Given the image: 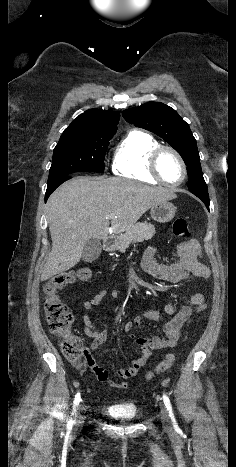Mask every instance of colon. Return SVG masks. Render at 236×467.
Returning <instances> with one entry per match:
<instances>
[{
    "mask_svg": "<svg viewBox=\"0 0 236 467\" xmlns=\"http://www.w3.org/2000/svg\"><path fill=\"white\" fill-rule=\"evenodd\" d=\"M173 233L184 240L191 238V230L183 218H176L172 223ZM92 271L89 267H80L67 270L54 275L44 286V310L46 321L51 333L57 335L61 340V350L66 359L75 367L81 368L90 363L91 356L83 340L72 333L71 326L74 316L67 305L60 299L58 293L65 287L76 282L90 279ZM175 355L169 353L148 374L152 378L155 374L166 372L174 363Z\"/></svg>",
    "mask_w": 236,
    "mask_h": 467,
    "instance_id": "obj_1",
    "label": "colon"
}]
</instances>
